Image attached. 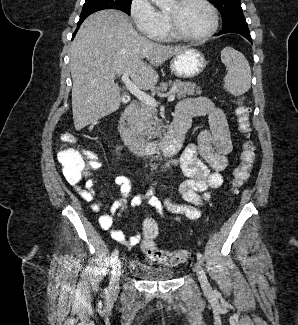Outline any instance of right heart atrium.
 Masks as SVG:
<instances>
[{"instance_id":"1","label":"right heart atrium","mask_w":298,"mask_h":325,"mask_svg":"<svg viewBox=\"0 0 298 325\" xmlns=\"http://www.w3.org/2000/svg\"><path fill=\"white\" fill-rule=\"evenodd\" d=\"M130 13L146 41H165L166 36L162 30L166 26L165 19L151 0H134Z\"/></svg>"}]
</instances>
